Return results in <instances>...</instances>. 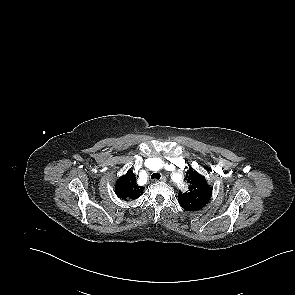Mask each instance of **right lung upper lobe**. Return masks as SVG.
<instances>
[{
	"label": "right lung upper lobe",
	"mask_w": 295,
	"mask_h": 295,
	"mask_svg": "<svg viewBox=\"0 0 295 295\" xmlns=\"http://www.w3.org/2000/svg\"><path fill=\"white\" fill-rule=\"evenodd\" d=\"M116 194L122 199H137L143 192V187L136 183V177L131 170L120 177L115 185Z\"/></svg>",
	"instance_id": "cb5924a9"
}]
</instances>
